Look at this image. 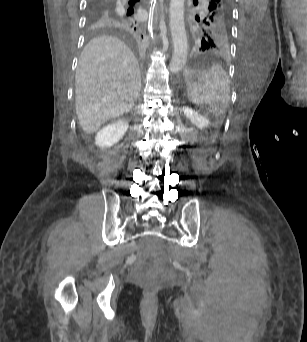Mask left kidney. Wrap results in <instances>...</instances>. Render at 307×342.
<instances>
[{
    "instance_id": "5707ae66",
    "label": "left kidney",
    "mask_w": 307,
    "mask_h": 342,
    "mask_svg": "<svg viewBox=\"0 0 307 342\" xmlns=\"http://www.w3.org/2000/svg\"><path fill=\"white\" fill-rule=\"evenodd\" d=\"M185 116L189 118L190 122L194 124V126H197V128H207L209 126V120L207 118H204V116H201V114H198V112H195V110H191V108H182Z\"/></svg>"
}]
</instances>
